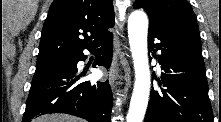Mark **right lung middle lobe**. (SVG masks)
Wrapping results in <instances>:
<instances>
[{"label":"right lung middle lobe","mask_w":221,"mask_h":122,"mask_svg":"<svg viewBox=\"0 0 221 122\" xmlns=\"http://www.w3.org/2000/svg\"><path fill=\"white\" fill-rule=\"evenodd\" d=\"M73 58H74V56L73 57H62V58L37 60L35 73H39V72L45 71L49 68L62 65L64 63H67L68 61L72 60Z\"/></svg>","instance_id":"dd1d6c3e"}]
</instances>
